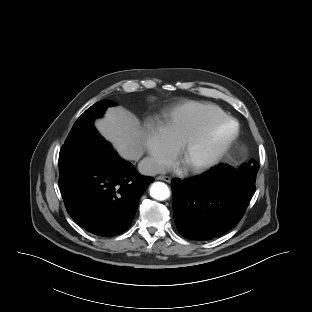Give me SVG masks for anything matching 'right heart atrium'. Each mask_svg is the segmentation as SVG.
Masks as SVG:
<instances>
[{
  "instance_id": "obj_1",
  "label": "right heart atrium",
  "mask_w": 312,
  "mask_h": 312,
  "mask_svg": "<svg viewBox=\"0 0 312 312\" xmlns=\"http://www.w3.org/2000/svg\"><path fill=\"white\" fill-rule=\"evenodd\" d=\"M143 141L152 172L164 169L176 153V146L168 138L161 121L151 119L145 123Z\"/></svg>"
}]
</instances>
